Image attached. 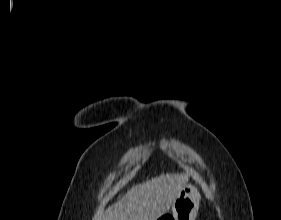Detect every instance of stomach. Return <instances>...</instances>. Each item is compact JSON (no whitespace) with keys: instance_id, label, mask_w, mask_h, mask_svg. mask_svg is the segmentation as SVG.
Listing matches in <instances>:
<instances>
[{"instance_id":"stomach-1","label":"stomach","mask_w":281,"mask_h":220,"mask_svg":"<svg viewBox=\"0 0 281 220\" xmlns=\"http://www.w3.org/2000/svg\"><path fill=\"white\" fill-rule=\"evenodd\" d=\"M200 199L196 187L191 184L186 185L172 205V214L164 215L160 220H195Z\"/></svg>"}]
</instances>
